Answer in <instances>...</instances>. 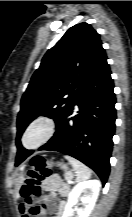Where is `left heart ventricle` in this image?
<instances>
[{"label": "left heart ventricle", "mask_w": 132, "mask_h": 217, "mask_svg": "<svg viewBox=\"0 0 132 217\" xmlns=\"http://www.w3.org/2000/svg\"><path fill=\"white\" fill-rule=\"evenodd\" d=\"M41 130L40 129H36L34 131H32L26 138V143L28 145L34 144L35 142H37L39 140V138L41 137Z\"/></svg>", "instance_id": "obj_1"}]
</instances>
